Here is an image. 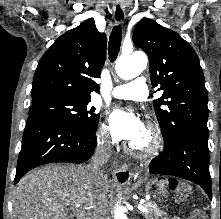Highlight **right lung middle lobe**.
Listing matches in <instances>:
<instances>
[{
	"label": "right lung middle lobe",
	"mask_w": 221,
	"mask_h": 219,
	"mask_svg": "<svg viewBox=\"0 0 221 219\" xmlns=\"http://www.w3.org/2000/svg\"><path fill=\"white\" fill-rule=\"evenodd\" d=\"M90 99L47 98L32 102L29 115H43L61 120L87 132H96L99 114L88 104Z\"/></svg>",
	"instance_id": "dd1d6c3e"
}]
</instances>
